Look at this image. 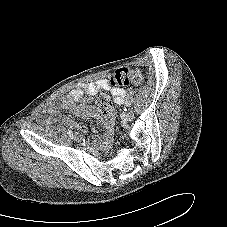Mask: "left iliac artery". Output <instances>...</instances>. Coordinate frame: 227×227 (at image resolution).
<instances>
[{"instance_id": "44dca946", "label": "left iliac artery", "mask_w": 227, "mask_h": 227, "mask_svg": "<svg viewBox=\"0 0 227 227\" xmlns=\"http://www.w3.org/2000/svg\"><path fill=\"white\" fill-rule=\"evenodd\" d=\"M125 106H126L127 108H130V107H131L130 101H125ZM125 110H127V109H125Z\"/></svg>"}]
</instances>
